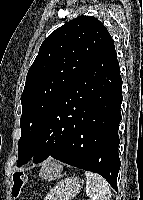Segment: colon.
<instances>
[{"mask_svg": "<svg viewBox=\"0 0 143 200\" xmlns=\"http://www.w3.org/2000/svg\"><path fill=\"white\" fill-rule=\"evenodd\" d=\"M27 176L21 171H17L13 174V194L15 196L19 195L24 185L26 184Z\"/></svg>", "mask_w": 143, "mask_h": 200, "instance_id": "1", "label": "colon"}]
</instances>
